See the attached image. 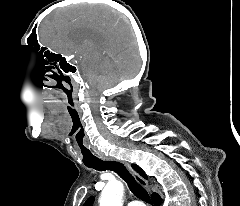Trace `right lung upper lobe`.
<instances>
[{"label":"right lung upper lobe","instance_id":"cb5924a9","mask_svg":"<svg viewBox=\"0 0 240 206\" xmlns=\"http://www.w3.org/2000/svg\"><path fill=\"white\" fill-rule=\"evenodd\" d=\"M132 167L134 170H136L142 177L147 179V175L144 173V171L136 164H132ZM155 194V193H154ZM94 201V198L91 196L90 198L87 199V201L84 203L83 206H91Z\"/></svg>","mask_w":240,"mask_h":206}]
</instances>
